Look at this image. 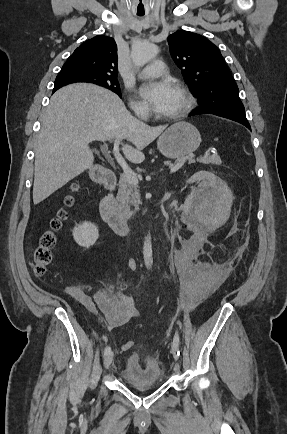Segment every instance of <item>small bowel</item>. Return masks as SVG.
Returning a JSON list of instances; mask_svg holds the SVG:
<instances>
[{"mask_svg": "<svg viewBox=\"0 0 287 434\" xmlns=\"http://www.w3.org/2000/svg\"><path fill=\"white\" fill-rule=\"evenodd\" d=\"M66 293L108 328L120 327L137 315L133 297L107 283L93 295L84 292L78 284L67 286Z\"/></svg>", "mask_w": 287, "mask_h": 434, "instance_id": "obj_1", "label": "small bowel"}]
</instances>
